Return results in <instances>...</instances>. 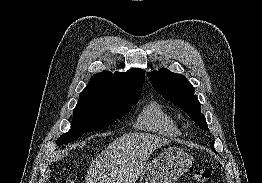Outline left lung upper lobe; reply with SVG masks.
I'll list each match as a JSON object with an SVG mask.
<instances>
[{"instance_id": "1", "label": "left lung upper lobe", "mask_w": 262, "mask_h": 183, "mask_svg": "<svg viewBox=\"0 0 262 183\" xmlns=\"http://www.w3.org/2000/svg\"><path fill=\"white\" fill-rule=\"evenodd\" d=\"M148 78L156 92L178 105L200 128L208 129L205 116L201 113L200 102L194 95V88L185 76L161 69L149 72ZM211 147L214 150V141Z\"/></svg>"}]
</instances>
